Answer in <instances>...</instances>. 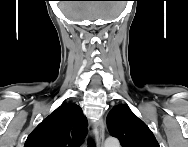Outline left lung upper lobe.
<instances>
[{
	"instance_id": "5c2ea615",
	"label": "left lung upper lobe",
	"mask_w": 188,
	"mask_h": 147,
	"mask_svg": "<svg viewBox=\"0 0 188 147\" xmlns=\"http://www.w3.org/2000/svg\"><path fill=\"white\" fill-rule=\"evenodd\" d=\"M107 125L122 147H160L148 126L127 105H117L108 114Z\"/></svg>"
}]
</instances>
